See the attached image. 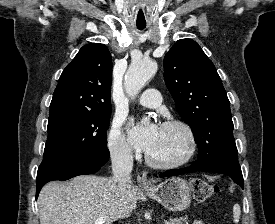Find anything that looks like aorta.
Listing matches in <instances>:
<instances>
[{
	"label": "aorta",
	"instance_id": "762f6f07",
	"mask_svg": "<svg viewBox=\"0 0 275 224\" xmlns=\"http://www.w3.org/2000/svg\"><path fill=\"white\" fill-rule=\"evenodd\" d=\"M157 68V63L150 59H142L132 62L124 78V88L126 93L130 97H136L140 90L156 73Z\"/></svg>",
	"mask_w": 275,
	"mask_h": 224
}]
</instances>
